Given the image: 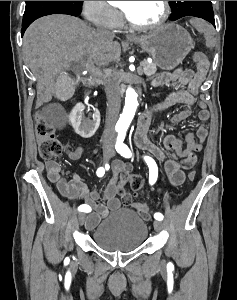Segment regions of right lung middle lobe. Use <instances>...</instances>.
Wrapping results in <instances>:
<instances>
[{
  "label": "right lung middle lobe",
  "instance_id": "1",
  "mask_svg": "<svg viewBox=\"0 0 237 300\" xmlns=\"http://www.w3.org/2000/svg\"><path fill=\"white\" fill-rule=\"evenodd\" d=\"M82 1H26L23 21H30L61 10L81 11Z\"/></svg>",
  "mask_w": 237,
  "mask_h": 300
}]
</instances>
